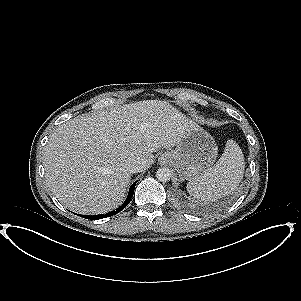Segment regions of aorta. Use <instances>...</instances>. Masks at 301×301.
I'll return each instance as SVG.
<instances>
[{
  "instance_id": "1",
  "label": "aorta",
  "mask_w": 301,
  "mask_h": 301,
  "mask_svg": "<svg viewBox=\"0 0 301 301\" xmlns=\"http://www.w3.org/2000/svg\"><path fill=\"white\" fill-rule=\"evenodd\" d=\"M171 171L166 168H159L156 172V178L160 181V182H168L171 179Z\"/></svg>"
}]
</instances>
